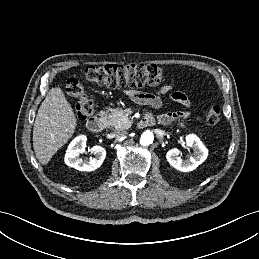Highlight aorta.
Listing matches in <instances>:
<instances>
[{
	"mask_svg": "<svg viewBox=\"0 0 259 259\" xmlns=\"http://www.w3.org/2000/svg\"><path fill=\"white\" fill-rule=\"evenodd\" d=\"M154 140V135L151 131H145L140 138V144L143 146H148Z\"/></svg>",
	"mask_w": 259,
	"mask_h": 259,
	"instance_id": "obj_1",
	"label": "aorta"
}]
</instances>
